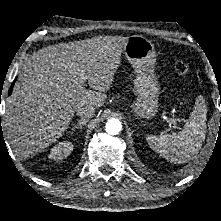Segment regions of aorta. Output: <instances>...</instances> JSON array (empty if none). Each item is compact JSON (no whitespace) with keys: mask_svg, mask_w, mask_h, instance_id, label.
I'll list each match as a JSON object with an SVG mask.
<instances>
[{"mask_svg":"<svg viewBox=\"0 0 221 221\" xmlns=\"http://www.w3.org/2000/svg\"><path fill=\"white\" fill-rule=\"evenodd\" d=\"M105 128L108 134L117 135L122 129V124L119 119L112 118L107 121Z\"/></svg>","mask_w":221,"mask_h":221,"instance_id":"762f6f07","label":"aorta"}]
</instances>
